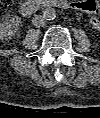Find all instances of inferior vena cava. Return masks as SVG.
<instances>
[{"instance_id":"obj_1","label":"inferior vena cava","mask_w":100,"mask_h":118,"mask_svg":"<svg viewBox=\"0 0 100 118\" xmlns=\"http://www.w3.org/2000/svg\"><path fill=\"white\" fill-rule=\"evenodd\" d=\"M32 24L37 28L43 27L46 24V19L43 15H34Z\"/></svg>"}]
</instances>
